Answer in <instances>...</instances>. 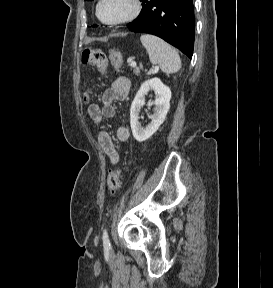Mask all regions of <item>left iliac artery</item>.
I'll list each match as a JSON object with an SVG mask.
<instances>
[{"label":"left iliac artery","mask_w":273,"mask_h":288,"mask_svg":"<svg viewBox=\"0 0 273 288\" xmlns=\"http://www.w3.org/2000/svg\"><path fill=\"white\" fill-rule=\"evenodd\" d=\"M102 239H103V245H104V247H105V248H109V247L111 246V244H110V240H109V236H108L107 229H104V230H103Z\"/></svg>","instance_id":"1"}]
</instances>
